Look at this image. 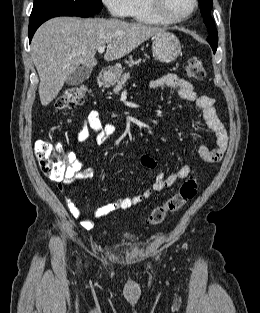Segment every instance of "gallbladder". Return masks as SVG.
<instances>
[{"label": "gallbladder", "mask_w": 260, "mask_h": 313, "mask_svg": "<svg viewBox=\"0 0 260 313\" xmlns=\"http://www.w3.org/2000/svg\"><path fill=\"white\" fill-rule=\"evenodd\" d=\"M91 72L92 69L79 67L67 77L66 84L69 86L80 85L89 78Z\"/></svg>", "instance_id": "gallbladder-1"}]
</instances>
